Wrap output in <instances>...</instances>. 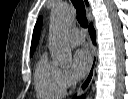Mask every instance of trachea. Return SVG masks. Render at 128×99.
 <instances>
[{
  "label": "trachea",
  "mask_w": 128,
  "mask_h": 99,
  "mask_svg": "<svg viewBox=\"0 0 128 99\" xmlns=\"http://www.w3.org/2000/svg\"><path fill=\"white\" fill-rule=\"evenodd\" d=\"M77 12V20L84 28L88 26V20L86 18V10L83 0H71Z\"/></svg>",
  "instance_id": "1"
}]
</instances>
